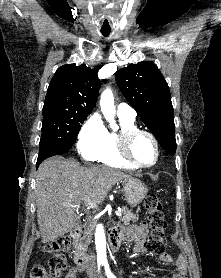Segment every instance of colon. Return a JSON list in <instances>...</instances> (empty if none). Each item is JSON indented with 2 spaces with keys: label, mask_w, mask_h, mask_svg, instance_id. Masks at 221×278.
I'll return each mask as SVG.
<instances>
[{
  "label": "colon",
  "mask_w": 221,
  "mask_h": 278,
  "mask_svg": "<svg viewBox=\"0 0 221 278\" xmlns=\"http://www.w3.org/2000/svg\"><path fill=\"white\" fill-rule=\"evenodd\" d=\"M147 215V225L150 235L146 242V248L154 254L164 253V236L167 221L163 213V207L155 195H148L144 201ZM71 239L62 237L44 246L45 252L51 254L50 271L42 266H35L31 270V278H59L66 267L65 254L70 250Z\"/></svg>",
  "instance_id": "1"
}]
</instances>
